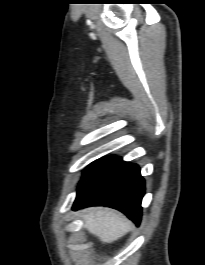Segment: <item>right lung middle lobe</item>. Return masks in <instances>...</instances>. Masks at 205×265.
Masks as SVG:
<instances>
[{"label":"right lung middle lobe","instance_id":"right-lung-middle-lobe-1","mask_svg":"<svg viewBox=\"0 0 205 265\" xmlns=\"http://www.w3.org/2000/svg\"><path fill=\"white\" fill-rule=\"evenodd\" d=\"M95 162L91 163L84 171H83V176H85L89 170L94 166Z\"/></svg>","mask_w":205,"mask_h":265}]
</instances>
